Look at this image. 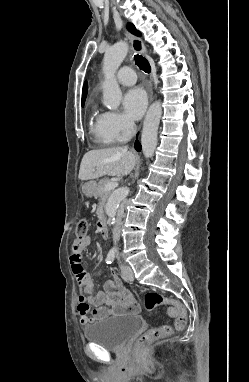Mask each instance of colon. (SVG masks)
I'll list each match as a JSON object with an SVG mask.
<instances>
[{
    "label": "colon",
    "instance_id": "1",
    "mask_svg": "<svg viewBox=\"0 0 249 382\" xmlns=\"http://www.w3.org/2000/svg\"><path fill=\"white\" fill-rule=\"evenodd\" d=\"M89 231V224L86 219H80L76 227V239L79 241L84 240ZM145 307L147 310H152L159 305H167L168 313L175 317L174 327L170 324H163L159 327L152 328L143 333L135 344L137 354L157 340L169 336L173 333L174 329L180 330L186 326V310L177 301L167 298L156 291H149L145 294L144 299Z\"/></svg>",
    "mask_w": 249,
    "mask_h": 382
}]
</instances>
